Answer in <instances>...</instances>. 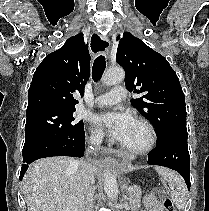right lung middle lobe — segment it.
I'll return each mask as SVG.
<instances>
[{
  "mask_svg": "<svg viewBox=\"0 0 209 211\" xmlns=\"http://www.w3.org/2000/svg\"><path fill=\"white\" fill-rule=\"evenodd\" d=\"M74 111L47 108L26 113L23 156L54 140L80 137L84 133V124L75 120Z\"/></svg>",
  "mask_w": 209,
  "mask_h": 211,
  "instance_id": "1",
  "label": "right lung middle lobe"
}]
</instances>
